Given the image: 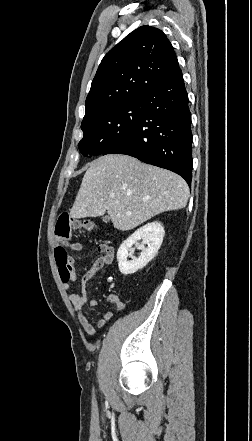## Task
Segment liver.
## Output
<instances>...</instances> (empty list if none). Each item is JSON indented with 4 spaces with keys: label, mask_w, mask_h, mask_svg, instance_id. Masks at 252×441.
Wrapping results in <instances>:
<instances>
[{
    "label": "liver",
    "mask_w": 252,
    "mask_h": 441,
    "mask_svg": "<svg viewBox=\"0 0 252 441\" xmlns=\"http://www.w3.org/2000/svg\"><path fill=\"white\" fill-rule=\"evenodd\" d=\"M188 198L189 187L179 175L110 154L90 164L70 216L97 217L107 211L114 228L127 231L162 212L184 208Z\"/></svg>",
    "instance_id": "1"
}]
</instances>
